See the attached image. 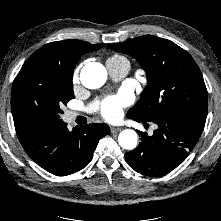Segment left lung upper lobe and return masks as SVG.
Returning <instances> with one entry per match:
<instances>
[{
  "mask_svg": "<svg viewBox=\"0 0 221 221\" xmlns=\"http://www.w3.org/2000/svg\"><path fill=\"white\" fill-rule=\"evenodd\" d=\"M108 48L131 55L146 72L147 86L127 116L152 121L187 114L206 119L207 89L198 65L187 51L153 35L109 44Z\"/></svg>",
  "mask_w": 221,
  "mask_h": 221,
  "instance_id": "left-lung-upper-lobe-1",
  "label": "left lung upper lobe"
}]
</instances>
